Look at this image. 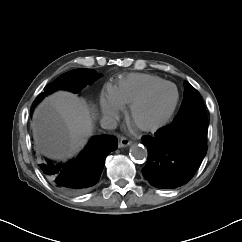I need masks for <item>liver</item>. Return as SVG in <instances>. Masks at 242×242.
<instances>
[{
    "mask_svg": "<svg viewBox=\"0 0 242 242\" xmlns=\"http://www.w3.org/2000/svg\"><path fill=\"white\" fill-rule=\"evenodd\" d=\"M33 134L43 152L54 157L76 153L92 134L93 124L85 103L59 91L44 100L33 115Z\"/></svg>",
    "mask_w": 242,
    "mask_h": 242,
    "instance_id": "1",
    "label": "liver"
}]
</instances>
